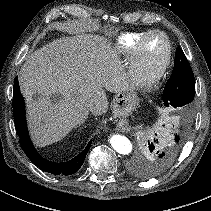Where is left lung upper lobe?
I'll return each instance as SVG.
<instances>
[{
    "label": "left lung upper lobe",
    "instance_id": "1",
    "mask_svg": "<svg viewBox=\"0 0 211 211\" xmlns=\"http://www.w3.org/2000/svg\"><path fill=\"white\" fill-rule=\"evenodd\" d=\"M195 93V80L191 66L181 48L176 49L173 72L168 79L162 99L166 107L189 110Z\"/></svg>",
    "mask_w": 211,
    "mask_h": 211
}]
</instances>
